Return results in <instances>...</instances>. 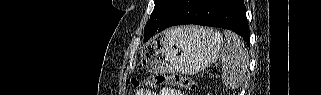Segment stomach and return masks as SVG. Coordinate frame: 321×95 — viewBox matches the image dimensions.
<instances>
[{
    "instance_id": "stomach-1",
    "label": "stomach",
    "mask_w": 321,
    "mask_h": 95,
    "mask_svg": "<svg viewBox=\"0 0 321 95\" xmlns=\"http://www.w3.org/2000/svg\"><path fill=\"white\" fill-rule=\"evenodd\" d=\"M223 45L220 33L197 27L167 30L157 36L142 56L151 72L193 74L210 66Z\"/></svg>"
}]
</instances>
